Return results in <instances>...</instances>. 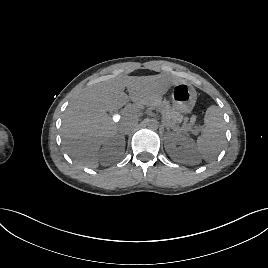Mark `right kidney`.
<instances>
[{
	"instance_id": "right-kidney-1",
	"label": "right kidney",
	"mask_w": 268,
	"mask_h": 268,
	"mask_svg": "<svg viewBox=\"0 0 268 268\" xmlns=\"http://www.w3.org/2000/svg\"><path fill=\"white\" fill-rule=\"evenodd\" d=\"M125 151V138L117 135L108 140L100 150L98 157L103 166H108L120 160Z\"/></svg>"
}]
</instances>
